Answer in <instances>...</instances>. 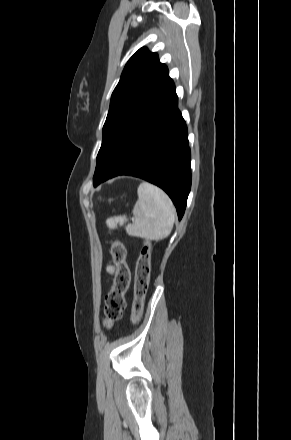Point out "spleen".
<instances>
[{"label": "spleen", "mask_w": 291, "mask_h": 440, "mask_svg": "<svg viewBox=\"0 0 291 440\" xmlns=\"http://www.w3.org/2000/svg\"><path fill=\"white\" fill-rule=\"evenodd\" d=\"M138 200L134 205V222L127 224L126 232L135 237L159 241L168 237L173 229L176 210L168 195L157 186L142 182L137 190ZM126 216L110 217L106 224L110 229L123 226Z\"/></svg>", "instance_id": "spleen-1"}]
</instances>
